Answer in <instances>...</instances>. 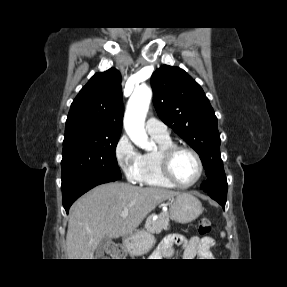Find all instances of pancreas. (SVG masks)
Returning <instances> with one entry per match:
<instances>
[{"mask_svg":"<svg viewBox=\"0 0 287 287\" xmlns=\"http://www.w3.org/2000/svg\"><path fill=\"white\" fill-rule=\"evenodd\" d=\"M170 215L169 212H161L154 220L153 217H149L145 223V229L149 233L159 234L162 230L169 229Z\"/></svg>","mask_w":287,"mask_h":287,"instance_id":"obj_1","label":"pancreas"}]
</instances>
